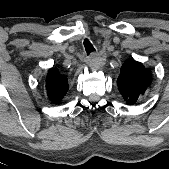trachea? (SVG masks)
Instances as JSON below:
<instances>
[{
    "label": "trachea",
    "instance_id": "3493384b",
    "mask_svg": "<svg viewBox=\"0 0 169 169\" xmlns=\"http://www.w3.org/2000/svg\"><path fill=\"white\" fill-rule=\"evenodd\" d=\"M84 47H85V51H86L87 55H89L90 53L95 51V48L93 47V45L89 39L84 40Z\"/></svg>",
    "mask_w": 169,
    "mask_h": 169
}]
</instances>
